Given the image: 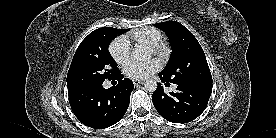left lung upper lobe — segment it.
<instances>
[{"label":"left lung upper lobe","mask_w":276,"mask_h":138,"mask_svg":"<svg viewBox=\"0 0 276 138\" xmlns=\"http://www.w3.org/2000/svg\"><path fill=\"white\" fill-rule=\"evenodd\" d=\"M154 25L168 35L172 49L168 64L160 72L164 78L175 84H212L204 51L194 35L177 21Z\"/></svg>","instance_id":"left-lung-upper-lobe-1"}]
</instances>
